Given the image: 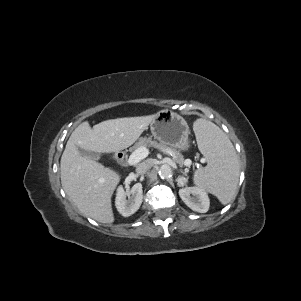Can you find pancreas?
<instances>
[{
  "label": "pancreas",
  "instance_id": "obj_1",
  "mask_svg": "<svg viewBox=\"0 0 301 301\" xmlns=\"http://www.w3.org/2000/svg\"><path fill=\"white\" fill-rule=\"evenodd\" d=\"M140 147H154L156 149H159L162 152L165 153H172L173 160L178 163L180 166L184 164V157L175 149L172 147H169L163 143H158L155 140H152L151 138L147 137H141L139 140L135 143V145L132 147L133 150H136Z\"/></svg>",
  "mask_w": 301,
  "mask_h": 301
}]
</instances>
